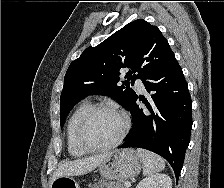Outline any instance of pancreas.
Wrapping results in <instances>:
<instances>
[{
    "label": "pancreas",
    "mask_w": 224,
    "mask_h": 188,
    "mask_svg": "<svg viewBox=\"0 0 224 188\" xmlns=\"http://www.w3.org/2000/svg\"><path fill=\"white\" fill-rule=\"evenodd\" d=\"M91 188H126L125 181L121 182H108L106 180H98L91 185Z\"/></svg>",
    "instance_id": "pancreas-1"
}]
</instances>
